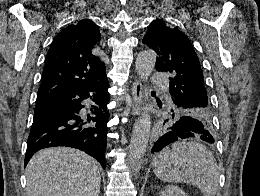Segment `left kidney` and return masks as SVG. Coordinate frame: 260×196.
<instances>
[{"mask_svg": "<svg viewBox=\"0 0 260 196\" xmlns=\"http://www.w3.org/2000/svg\"><path fill=\"white\" fill-rule=\"evenodd\" d=\"M160 196H186V194L178 186H166L164 192H160Z\"/></svg>", "mask_w": 260, "mask_h": 196, "instance_id": "5707ae66", "label": "left kidney"}]
</instances>
